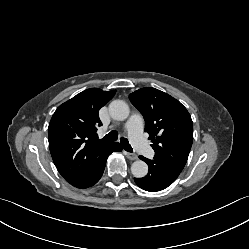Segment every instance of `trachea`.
<instances>
[{
  "mask_svg": "<svg viewBox=\"0 0 249 249\" xmlns=\"http://www.w3.org/2000/svg\"><path fill=\"white\" fill-rule=\"evenodd\" d=\"M117 138H118V134L114 130L104 136V139L108 141H116ZM120 143L122 147L124 148V150H126L127 152H133V149L126 138H121Z\"/></svg>",
  "mask_w": 249,
  "mask_h": 249,
  "instance_id": "3493384b",
  "label": "trachea"
}]
</instances>
